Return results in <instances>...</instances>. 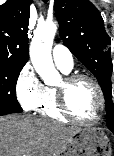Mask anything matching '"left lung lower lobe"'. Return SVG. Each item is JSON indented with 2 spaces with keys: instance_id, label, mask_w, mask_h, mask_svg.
I'll use <instances>...</instances> for the list:
<instances>
[{
  "instance_id": "obj_1",
  "label": "left lung lower lobe",
  "mask_w": 114,
  "mask_h": 156,
  "mask_svg": "<svg viewBox=\"0 0 114 156\" xmlns=\"http://www.w3.org/2000/svg\"><path fill=\"white\" fill-rule=\"evenodd\" d=\"M110 130L114 133V128L112 127V128H110Z\"/></svg>"
}]
</instances>
